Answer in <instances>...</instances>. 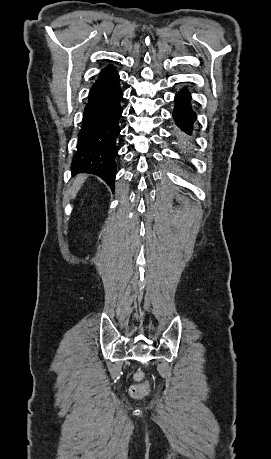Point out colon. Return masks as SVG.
I'll return each mask as SVG.
<instances>
[{
	"label": "colon",
	"mask_w": 271,
	"mask_h": 459,
	"mask_svg": "<svg viewBox=\"0 0 271 459\" xmlns=\"http://www.w3.org/2000/svg\"><path fill=\"white\" fill-rule=\"evenodd\" d=\"M143 378H144V375L141 371H138L136 374H135V380L137 382H139L138 385L134 386L132 389H131V393L132 395L134 396H141L143 394H145L146 390H147V387H146V384L143 382Z\"/></svg>",
	"instance_id": "obj_1"
}]
</instances>
